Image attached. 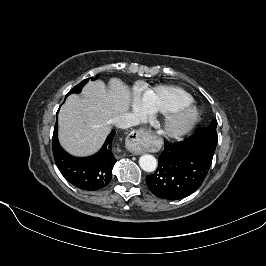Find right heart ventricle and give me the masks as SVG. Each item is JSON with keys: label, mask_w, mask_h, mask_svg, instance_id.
I'll list each match as a JSON object with an SVG mask.
<instances>
[{"label": "right heart ventricle", "mask_w": 266, "mask_h": 266, "mask_svg": "<svg viewBox=\"0 0 266 266\" xmlns=\"http://www.w3.org/2000/svg\"><path fill=\"white\" fill-rule=\"evenodd\" d=\"M192 96L176 86H158L144 92L142 108L151 115H165L173 109L192 103Z\"/></svg>", "instance_id": "e07e8e85"}]
</instances>
